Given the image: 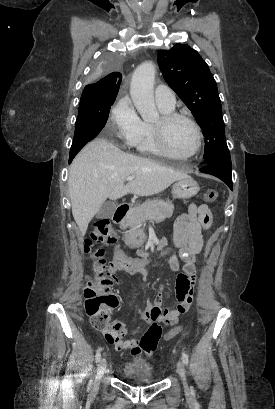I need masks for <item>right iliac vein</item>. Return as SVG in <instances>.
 <instances>
[{
	"label": "right iliac vein",
	"instance_id": "1",
	"mask_svg": "<svg viewBox=\"0 0 275 409\" xmlns=\"http://www.w3.org/2000/svg\"><path fill=\"white\" fill-rule=\"evenodd\" d=\"M106 366H107V360L105 358H103L99 363L98 373H97L96 378H95L94 383H93L94 387L97 388V387L100 386V382H101V379H102V377L104 375V372L106 370Z\"/></svg>",
	"mask_w": 275,
	"mask_h": 409
}]
</instances>
